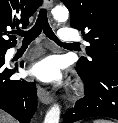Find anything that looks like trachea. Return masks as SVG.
<instances>
[{
	"instance_id": "3493384b",
	"label": "trachea",
	"mask_w": 118,
	"mask_h": 123,
	"mask_svg": "<svg viewBox=\"0 0 118 123\" xmlns=\"http://www.w3.org/2000/svg\"><path fill=\"white\" fill-rule=\"evenodd\" d=\"M44 32V34L57 44L63 45V44H70V43H62L54 34L52 31L47 18V10L42 9L39 12L37 21L35 25L28 31L19 30L16 32L17 35L24 37L23 42H31L35 40L41 32ZM73 44V43H72Z\"/></svg>"
}]
</instances>
